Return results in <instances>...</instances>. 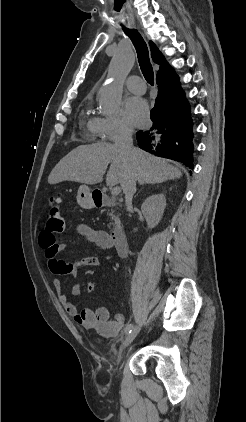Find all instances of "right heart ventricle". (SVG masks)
Here are the masks:
<instances>
[{"label":"right heart ventricle","instance_id":"e07e8e85","mask_svg":"<svg viewBox=\"0 0 246 422\" xmlns=\"http://www.w3.org/2000/svg\"><path fill=\"white\" fill-rule=\"evenodd\" d=\"M97 119H98L97 117L91 114V111L89 109H86L83 112L82 122H81L82 127L91 136L97 135Z\"/></svg>","mask_w":246,"mask_h":422}]
</instances>
